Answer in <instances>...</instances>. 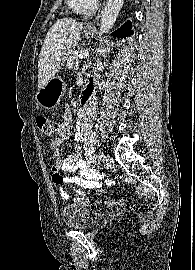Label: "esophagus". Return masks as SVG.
Listing matches in <instances>:
<instances>
[{
  "label": "esophagus",
  "mask_w": 195,
  "mask_h": 270,
  "mask_svg": "<svg viewBox=\"0 0 195 270\" xmlns=\"http://www.w3.org/2000/svg\"><path fill=\"white\" fill-rule=\"evenodd\" d=\"M99 17H100V14H98L97 17L93 21L89 22L86 27L89 29H95V23H96V20L99 19Z\"/></svg>",
  "instance_id": "34e87169"
}]
</instances>
